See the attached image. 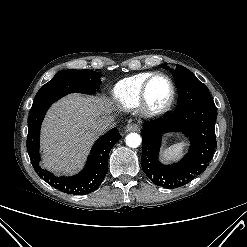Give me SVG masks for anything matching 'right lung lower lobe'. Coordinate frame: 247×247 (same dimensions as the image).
Listing matches in <instances>:
<instances>
[{"mask_svg":"<svg viewBox=\"0 0 247 247\" xmlns=\"http://www.w3.org/2000/svg\"><path fill=\"white\" fill-rule=\"evenodd\" d=\"M50 105L31 111L28 122L27 149L36 173L50 185L68 194L84 195L96 190L108 171V156L121 139L117 128L100 137L91 149L85 168L73 177H56L40 166L39 138L43 118Z\"/></svg>","mask_w":247,"mask_h":247,"instance_id":"obj_1","label":"right lung lower lobe"}]
</instances>
